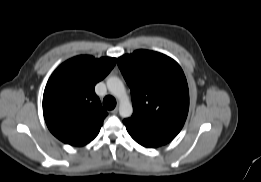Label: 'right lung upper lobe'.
Instances as JSON below:
<instances>
[{
	"label": "right lung upper lobe",
	"instance_id": "cb5924a9",
	"mask_svg": "<svg viewBox=\"0 0 261 182\" xmlns=\"http://www.w3.org/2000/svg\"><path fill=\"white\" fill-rule=\"evenodd\" d=\"M116 64L115 58L77 56L62 63L44 90L45 122L59 140L83 146L99 133L107 112L94 92Z\"/></svg>",
	"mask_w": 261,
	"mask_h": 182
}]
</instances>
